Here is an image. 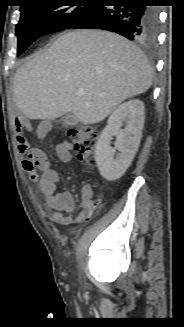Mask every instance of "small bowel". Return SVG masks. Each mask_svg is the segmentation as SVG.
Returning <instances> with one entry per match:
<instances>
[{
  "label": "small bowel",
  "instance_id": "c3829d8e",
  "mask_svg": "<svg viewBox=\"0 0 184 327\" xmlns=\"http://www.w3.org/2000/svg\"><path fill=\"white\" fill-rule=\"evenodd\" d=\"M51 130L49 122H42L37 127V136L44 140ZM56 152L61 161L68 163L72 159V147L68 142L59 144ZM22 168L28 173L30 180L38 182L39 189L44 198L45 210L48 218L62 225H70L73 222L88 220L95 209L101 204V200H93L89 193H84L81 199V212L75 219L67 217L65 213H71L76 208L73 195L69 192H56L59 175L49 162L45 152L39 148L29 150L27 158L21 162ZM38 170L41 173H38Z\"/></svg>",
  "mask_w": 184,
  "mask_h": 327
}]
</instances>
